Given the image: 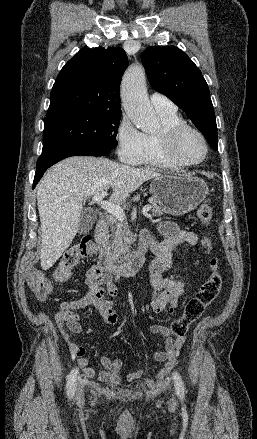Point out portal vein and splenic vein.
Wrapping results in <instances>:
<instances>
[{"mask_svg": "<svg viewBox=\"0 0 257 439\" xmlns=\"http://www.w3.org/2000/svg\"><path fill=\"white\" fill-rule=\"evenodd\" d=\"M105 196H106V192L102 191L94 195L92 200L98 203L102 209L115 216L119 221H123L125 218V213L123 212V209L112 202L104 201L103 199ZM150 210H151V205H145L142 208V213L146 214Z\"/></svg>", "mask_w": 257, "mask_h": 439, "instance_id": "portal-vein-and-splenic-vein-1", "label": "portal vein and splenic vein"}]
</instances>
